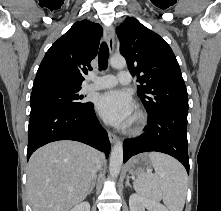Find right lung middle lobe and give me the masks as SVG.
Segmentation results:
<instances>
[{
    "mask_svg": "<svg viewBox=\"0 0 221 211\" xmlns=\"http://www.w3.org/2000/svg\"><path fill=\"white\" fill-rule=\"evenodd\" d=\"M80 88H47L32 91L30 97L31 111L43 107L59 106L68 108L85 107L89 102L82 101Z\"/></svg>",
    "mask_w": 221,
    "mask_h": 211,
    "instance_id": "dd1d6c3e",
    "label": "right lung middle lobe"
}]
</instances>
